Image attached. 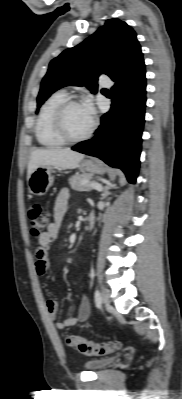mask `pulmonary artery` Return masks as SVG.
Wrapping results in <instances>:
<instances>
[{"instance_id": "1", "label": "pulmonary artery", "mask_w": 182, "mask_h": 399, "mask_svg": "<svg viewBox=\"0 0 182 399\" xmlns=\"http://www.w3.org/2000/svg\"><path fill=\"white\" fill-rule=\"evenodd\" d=\"M101 85L105 87H110L112 85V82L110 79H104L101 81Z\"/></svg>"}]
</instances>
